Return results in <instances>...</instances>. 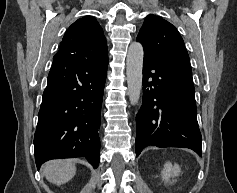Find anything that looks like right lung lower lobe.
I'll return each instance as SVG.
<instances>
[{
    "label": "right lung lower lobe",
    "instance_id": "right-lung-lower-lobe-1",
    "mask_svg": "<svg viewBox=\"0 0 237 193\" xmlns=\"http://www.w3.org/2000/svg\"><path fill=\"white\" fill-rule=\"evenodd\" d=\"M108 57L79 61L56 54L34 136L37 168L50 159L86 157L99 165L101 106Z\"/></svg>",
    "mask_w": 237,
    "mask_h": 193
}]
</instances>
